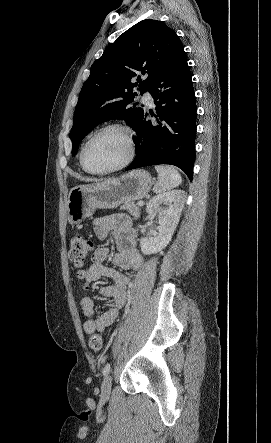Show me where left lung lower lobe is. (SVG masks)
Here are the masks:
<instances>
[{"label": "left lung lower lobe", "mask_w": 271, "mask_h": 443, "mask_svg": "<svg viewBox=\"0 0 271 443\" xmlns=\"http://www.w3.org/2000/svg\"><path fill=\"white\" fill-rule=\"evenodd\" d=\"M156 104L157 123L146 121L145 113L135 131L136 157L125 169L170 164L193 178L196 137V100L186 53L174 48L149 84Z\"/></svg>", "instance_id": "0a47b994"}]
</instances>
